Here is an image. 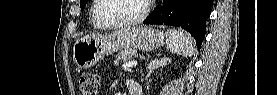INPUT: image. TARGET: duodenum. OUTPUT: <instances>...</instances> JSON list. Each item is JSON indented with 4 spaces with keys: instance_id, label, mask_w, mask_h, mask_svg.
<instances>
[{
    "instance_id": "duodenum-1",
    "label": "duodenum",
    "mask_w": 277,
    "mask_h": 95,
    "mask_svg": "<svg viewBox=\"0 0 277 95\" xmlns=\"http://www.w3.org/2000/svg\"><path fill=\"white\" fill-rule=\"evenodd\" d=\"M129 95H140L142 94V88L138 81L131 80L129 83Z\"/></svg>"
}]
</instances>
